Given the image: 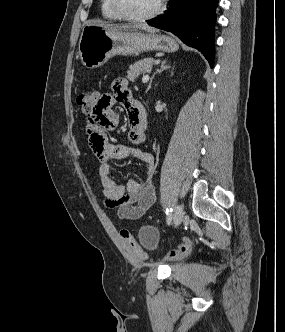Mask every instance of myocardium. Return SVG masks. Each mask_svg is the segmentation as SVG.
<instances>
[{"mask_svg":"<svg viewBox=\"0 0 285 332\" xmlns=\"http://www.w3.org/2000/svg\"><path fill=\"white\" fill-rule=\"evenodd\" d=\"M165 0H159V3L154 11L142 16H135L128 14L120 5L119 0H110V4L114 12L121 18L131 22H145L157 17L163 10Z\"/></svg>","mask_w":285,"mask_h":332,"instance_id":"f54148a6","label":"myocardium"}]
</instances>
